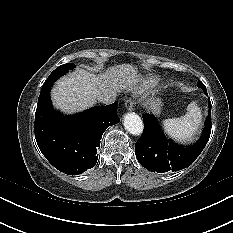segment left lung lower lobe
<instances>
[{
	"mask_svg": "<svg viewBox=\"0 0 233 233\" xmlns=\"http://www.w3.org/2000/svg\"><path fill=\"white\" fill-rule=\"evenodd\" d=\"M203 90L208 95L206 88ZM142 117L144 130L135 144V154L139 163L151 172L178 171L190 166L203 151L210 137L211 103L201 138L187 147L169 140L152 114H144Z\"/></svg>",
	"mask_w": 233,
	"mask_h": 233,
	"instance_id": "0a47b994",
	"label": "left lung lower lobe"
}]
</instances>
